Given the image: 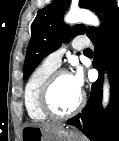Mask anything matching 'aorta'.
Wrapping results in <instances>:
<instances>
[{
    "label": "aorta",
    "mask_w": 119,
    "mask_h": 141,
    "mask_svg": "<svg viewBox=\"0 0 119 141\" xmlns=\"http://www.w3.org/2000/svg\"><path fill=\"white\" fill-rule=\"evenodd\" d=\"M65 22L84 23L91 26H99L100 22L96 15L85 9H72L65 17ZM109 100V85L106 81L103 88V105L106 106Z\"/></svg>",
    "instance_id": "aorta-1"
}]
</instances>
